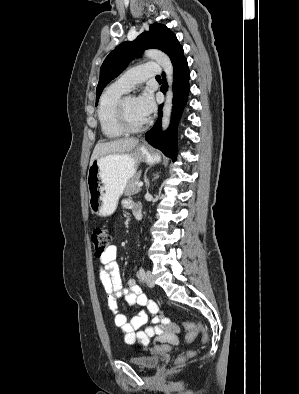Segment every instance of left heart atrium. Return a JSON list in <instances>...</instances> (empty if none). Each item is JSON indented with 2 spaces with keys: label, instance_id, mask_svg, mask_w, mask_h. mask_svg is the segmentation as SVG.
<instances>
[{
  "label": "left heart atrium",
  "instance_id": "1",
  "mask_svg": "<svg viewBox=\"0 0 299 394\" xmlns=\"http://www.w3.org/2000/svg\"><path fill=\"white\" fill-rule=\"evenodd\" d=\"M136 107L142 117L147 120L155 109L153 97L150 92H144L135 99Z\"/></svg>",
  "mask_w": 299,
  "mask_h": 394
}]
</instances>
